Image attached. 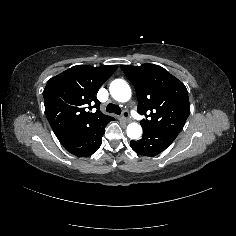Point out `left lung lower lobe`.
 Instances as JSON below:
<instances>
[{
    "instance_id": "1",
    "label": "left lung lower lobe",
    "mask_w": 236,
    "mask_h": 236,
    "mask_svg": "<svg viewBox=\"0 0 236 236\" xmlns=\"http://www.w3.org/2000/svg\"><path fill=\"white\" fill-rule=\"evenodd\" d=\"M177 137L176 134L143 128L142 139L131 141V148L143 156H155L165 150Z\"/></svg>"
}]
</instances>
